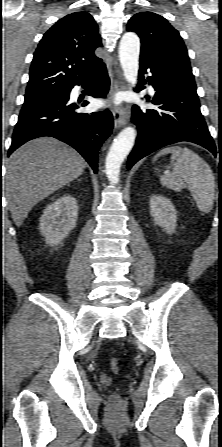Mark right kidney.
<instances>
[{"mask_svg":"<svg viewBox=\"0 0 222 447\" xmlns=\"http://www.w3.org/2000/svg\"><path fill=\"white\" fill-rule=\"evenodd\" d=\"M77 216V200L71 195H63L49 204L40 217V232L46 243L60 244L76 227Z\"/></svg>","mask_w":222,"mask_h":447,"instance_id":"obj_1","label":"right kidney"}]
</instances>
